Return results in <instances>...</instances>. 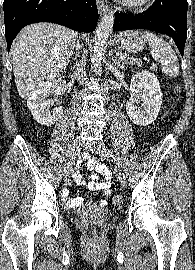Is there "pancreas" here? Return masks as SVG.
<instances>
[{
    "label": "pancreas",
    "mask_w": 195,
    "mask_h": 270,
    "mask_svg": "<svg viewBox=\"0 0 195 270\" xmlns=\"http://www.w3.org/2000/svg\"><path fill=\"white\" fill-rule=\"evenodd\" d=\"M120 61L122 63H129L131 65H138V66H142V62L140 61V59L135 58L133 56H130L128 54H123V57L120 58Z\"/></svg>",
    "instance_id": "pancreas-1"
}]
</instances>
